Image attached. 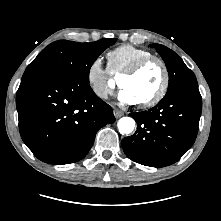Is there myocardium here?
Masks as SVG:
<instances>
[{
  "label": "myocardium",
  "instance_id": "obj_1",
  "mask_svg": "<svg viewBox=\"0 0 221 221\" xmlns=\"http://www.w3.org/2000/svg\"><path fill=\"white\" fill-rule=\"evenodd\" d=\"M151 62H157L161 66L163 72V80L160 88L151 98L138 103V105L141 108L153 107L157 105L159 102H161L162 99L166 96L170 84V74L167 63L159 56L149 55L136 61L127 70H125L119 78L120 80L122 78L132 77L136 75L138 72H140L147 64Z\"/></svg>",
  "mask_w": 221,
  "mask_h": 221
}]
</instances>
